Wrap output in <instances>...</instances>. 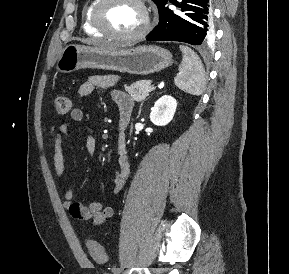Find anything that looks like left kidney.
I'll return each instance as SVG.
<instances>
[{"instance_id": "1", "label": "left kidney", "mask_w": 289, "mask_h": 274, "mask_svg": "<svg viewBox=\"0 0 289 274\" xmlns=\"http://www.w3.org/2000/svg\"><path fill=\"white\" fill-rule=\"evenodd\" d=\"M177 108L176 100L169 95H164L159 98L152 108L150 120L157 126H165L172 119Z\"/></svg>"}]
</instances>
